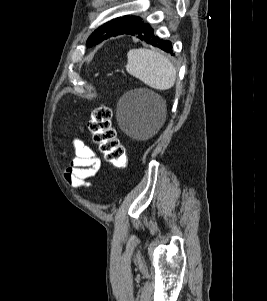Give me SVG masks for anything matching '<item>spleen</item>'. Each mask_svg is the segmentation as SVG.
<instances>
[{"instance_id": "3e777b00", "label": "spleen", "mask_w": 267, "mask_h": 301, "mask_svg": "<svg viewBox=\"0 0 267 301\" xmlns=\"http://www.w3.org/2000/svg\"><path fill=\"white\" fill-rule=\"evenodd\" d=\"M126 71L156 90L170 89L176 80V69L162 53L150 49H131Z\"/></svg>"}]
</instances>
